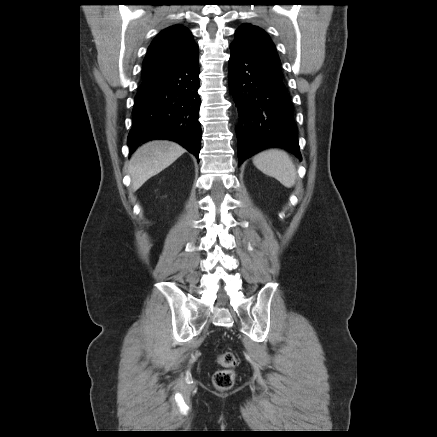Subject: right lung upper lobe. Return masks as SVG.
Masks as SVG:
<instances>
[{"instance_id": "1", "label": "right lung upper lobe", "mask_w": 437, "mask_h": 437, "mask_svg": "<svg viewBox=\"0 0 437 437\" xmlns=\"http://www.w3.org/2000/svg\"><path fill=\"white\" fill-rule=\"evenodd\" d=\"M198 55L191 32L182 25L161 31L148 48L143 62L142 79L184 64Z\"/></svg>"}]
</instances>
